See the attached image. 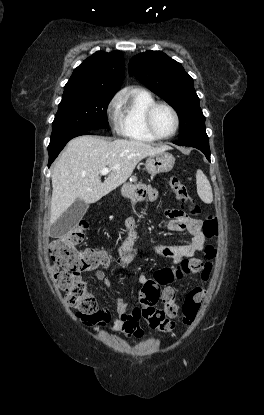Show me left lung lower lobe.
Wrapping results in <instances>:
<instances>
[{"label":"left lung lower lobe","mask_w":264,"mask_h":415,"mask_svg":"<svg viewBox=\"0 0 264 415\" xmlns=\"http://www.w3.org/2000/svg\"><path fill=\"white\" fill-rule=\"evenodd\" d=\"M174 143L179 146H190L197 148L202 151L205 154L206 158L210 161V148L207 135L189 137L175 141Z\"/></svg>","instance_id":"obj_1"}]
</instances>
